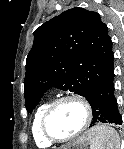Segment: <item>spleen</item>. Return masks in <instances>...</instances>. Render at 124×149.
Listing matches in <instances>:
<instances>
[{"label":"spleen","instance_id":"3e777b00","mask_svg":"<svg viewBox=\"0 0 124 149\" xmlns=\"http://www.w3.org/2000/svg\"><path fill=\"white\" fill-rule=\"evenodd\" d=\"M101 126V128H96L98 126L94 127L96 128V133L89 138L90 149H119V136L112 128Z\"/></svg>","mask_w":124,"mask_h":149}]
</instances>
